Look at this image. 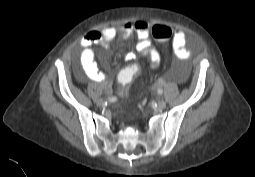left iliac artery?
I'll return each mask as SVG.
<instances>
[{"label": "left iliac artery", "mask_w": 255, "mask_h": 177, "mask_svg": "<svg viewBox=\"0 0 255 177\" xmlns=\"http://www.w3.org/2000/svg\"><path fill=\"white\" fill-rule=\"evenodd\" d=\"M157 93H158V94H162V93H163V90H162V89H158V90H157Z\"/></svg>", "instance_id": "left-iliac-artery-1"}]
</instances>
